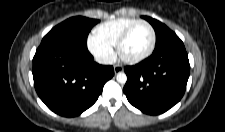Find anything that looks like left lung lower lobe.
<instances>
[{
    "label": "left lung lower lobe",
    "mask_w": 225,
    "mask_h": 132,
    "mask_svg": "<svg viewBox=\"0 0 225 132\" xmlns=\"http://www.w3.org/2000/svg\"><path fill=\"white\" fill-rule=\"evenodd\" d=\"M124 93L143 113H164L180 101L190 72L188 55L182 44L168 46L135 66L125 67Z\"/></svg>",
    "instance_id": "obj_1"
}]
</instances>
